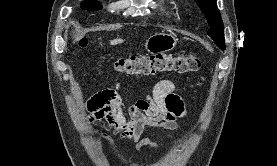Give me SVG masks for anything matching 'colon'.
Wrapping results in <instances>:
<instances>
[{"label":"colon","mask_w":277,"mask_h":166,"mask_svg":"<svg viewBox=\"0 0 277 166\" xmlns=\"http://www.w3.org/2000/svg\"><path fill=\"white\" fill-rule=\"evenodd\" d=\"M79 48H86L85 38L77 42ZM201 58L196 55H167L162 53L128 56L117 59L113 68L128 75H155L160 73L185 74L199 69Z\"/></svg>","instance_id":"5ec220e1"}]
</instances>
